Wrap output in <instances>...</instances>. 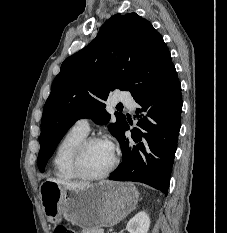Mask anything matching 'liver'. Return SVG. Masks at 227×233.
<instances>
[{
	"instance_id": "liver-1",
	"label": "liver",
	"mask_w": 227,
	"mask_h": 233,
	"mask_svg": "<svg viewBox=\"0 0 227 233\" xmlns=\"http://www.w3.org/2000/svg\"><path fill=\"white\" fill-rule=\"evenodd\" d=\"M47 181L54 182L58 185L65 186L69 189H82L87 186H90L89 183L71 182L68 180L60 179V178H48Z\"/></svg>"
}]
</instances>
